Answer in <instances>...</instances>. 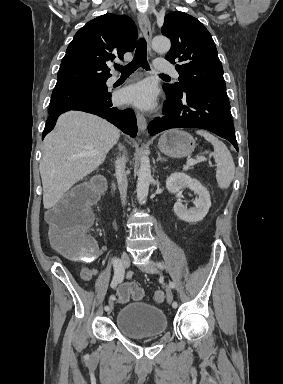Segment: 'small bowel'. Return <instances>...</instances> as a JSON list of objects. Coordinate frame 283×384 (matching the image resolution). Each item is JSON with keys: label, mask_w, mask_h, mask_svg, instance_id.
<instances>
[{"label": "small bowel", "mask_w": 283, "mask_h": 384, "mask_svg": "<svg viewBox=\"0 0 283 384\" xmlns=\"http://www.w3.org/2000/svg\"><path fill=\"white\" fill-rule=\"evenodd\" d=\"M97 255H98V251H97L96 256ZM79 273H80L81 278L87 283L97 274V270L89 267L86 263H83L79 267ZM130 275H131V273L129 272L127 277L129 278ZM126 284H134V283H126Z\"/></svg>", "instance_id": "c3829d8e"}]
</instances>
